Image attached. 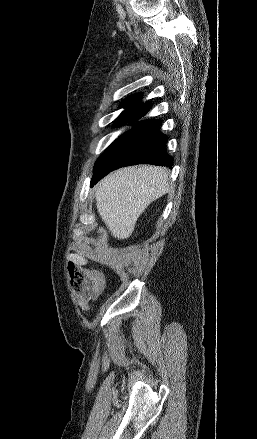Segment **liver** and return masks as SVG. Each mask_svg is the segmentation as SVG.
Here are the masks:
<instances>
[{
	"mask_svg": "<svg viewBox=\"0 0 257 439\" xmlns=\"http://www.w3.org/2000/svg\"><path fill=\"white\" fill-rule=\"evenodd\" d=\"M168 181L167 169L144 165L121 168L96 186L97 210L113 237H130L139 216L169 190ZM69 259L77 265L87 263L79 254Z\"/></svg>",
	"mask_w": 257,
	"mask_h": 439,
	"instance_id": "liver-1",
	"label": "liver"
}]
</instances>
